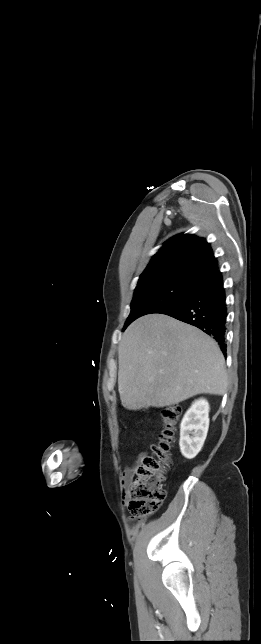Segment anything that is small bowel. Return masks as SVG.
<instances>
[{
  "mask_svg": "<svg viewBox=\"0 0 261 644\" xmlns=\"http://www.w3.org/2000/svg\"><path fill=\"white\" fill-rule=\"evenodd\" d=\"M143 457H144V455H143V454H142V455H140V457L138 458V460L136 461V463H135L134 465L129 466V467H127V468H125V470L123 471V479H122V482H123V485H124L125 487H126V486H128V485L130 484V482L133 480V478H134V476H135V473H136V465L139 463V461H140ZM124 502H125V503H127V502H128V497H127V495H126V494H124Z\"/></svg>",
  "mask_w": 261,
  "mask_h": 644,
  "instance_id": "1",
  "label": "small bowel"
}]
</instances>
